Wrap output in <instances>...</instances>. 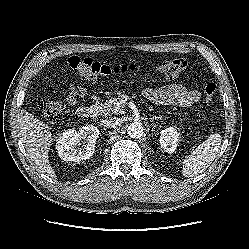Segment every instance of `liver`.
Returning <instances> with one entry per match:
<instances>
[{
  "label": "liver",
  "instance_id": "liver-1",
  "mask_svg": "<svg viewBox=\"0 0 249 249\" xmlns=\"http://www.w3.org/2000/svg\"><path fill=\"white\" fill-rule=\"evenodd\" d=\"M18 128L20 129L21 140L31 160L42 173L54 178L55 172L48 159L49 147L53 142L48 125L23 110L18 122Z\"/></svg>",
  "mask_w": 249,
  "mask_h": 249
}]
</instances>
